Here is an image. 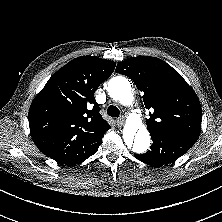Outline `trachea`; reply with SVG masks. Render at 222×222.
<instances>
[{
    "instance_id": "trachea-1",
    "label": "trachea",
    "mask_w": 222,
    "mask_h": 222,
    "mask_svg": "<svg viewBox=\"0 0 222 222\" xmlns=\"http://www.w3.org/2000/svg\"><path fill=\"white\" fill-rule=\"evenodd\" d=\"M107 114L110 116V117H113V118H117L119 117L120 115V111L119 109L114 106V105H110L107 109Z\"/></svg>"
}]
</instances>
